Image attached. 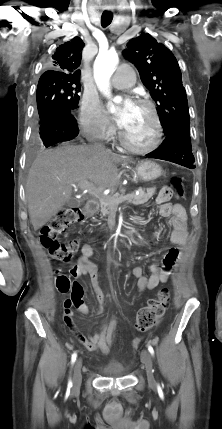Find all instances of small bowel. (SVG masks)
Here are the masks:
<instances>
[{
	"instance_id": "obj_1",
	"label": "small bowel",
	"mask_w": 222,
	"mask_h": 429,
	"mask_svg": "<svg viewBox=\"0 0 222 429\" xmlns=\"http://www.w3.org/2000/svg\"><path fill=\"white\" fill-rule=\"evenodd\" d=\"M156 203L158 204L159 214L162 217L168 218V226L170 227L169 241L175 245L185 244L187 240V214L185 208L180 204L167 202V200L160 195V192L156 198ZM93 253L94 251L92 246L84 244L81 248V253L76 264L70 270V274L73 278L89 276L93 293L98 302V307L94 314L100 315L108 307L110 300L106 296L100 284L98 268L91 261ZM179 256L180 249L178 248L166 250L162 255L160 264H151V274L149 276H145L143 274L141 267H133L131 269V275L137 279L138 291H152L159 284L166 282ZM73 309H76L83 315H89L88 307L83 299L82 287L78 292L72 291L70 298L64 302V323L87 350L108 354L117 335V321L114 319L103 321L97 333L86 336L81 332L80 327L74 322ZM141 341L142 338L138 337L130 342V346L137 347Z\"/></svg>"
}]
</instances>
